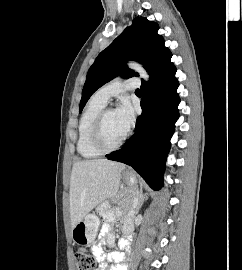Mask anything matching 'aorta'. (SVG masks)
I'll list each match as a JSON object with an SVG mask.
<instances>
[{"instance_id": "obj_1", "label": "aorta", "mask_w": 242, "mask_h": 270, "mask_svg": "<svg viewBox=\"0 0 242 270\" xmlns=\"http://www.w3.org/2000/svg\"><path fill=\"white\" fill-rule=\"evenodd\" d=\"M128 67L136 72L139 73L140 77L144 79L145 81L149 80V74L147 71L143 68V66L136 62H128Z\"/></svg>"}]
</instances>
